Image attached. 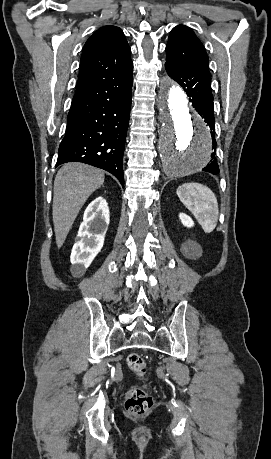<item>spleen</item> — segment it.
Returning a JSON list of instances; mask_svg holds the SVG:
<instances>
[{
  "instance_id": "3e777b00",
  "label": "spleen",
  "mask_w": 271,
  "mask_h": 459,
  "mask_svg": "<svg viewBox=\"0 0 271 459\" xmlns=\"http://www.w3.org/2000/svg\"><path fill=\"white\" fill-rule=\"evenodd\" d=\"M180 200L194 214L200 226L210 233L216 228L219 216L218 202L215 194L202 184H183L178 188Z\"/></svg>"
}]
</instances>
